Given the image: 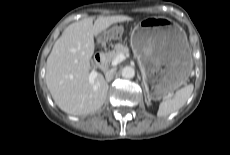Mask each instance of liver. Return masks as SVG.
<instances>
[{
	"label": "liver",
	"mask_w": 230,
	"mask_h": 155,
	"mask_svg": "<svg viewBox=\"0 0 230 155\" xmlns=\"http://www.w3.org/2000/svg\"><path fill=\"white\" fill-rule=\"evenodd\" d=\"M131 20L133 18L124 15L99 16L93 24V18L88 17L64 29L47 58L45 76L47 88L62 111L85 115L101 108L108 84L99 73L89 81L94 37L114 23Z\"/></svg>",
	"instance_id": "1"
}]
</instances>
